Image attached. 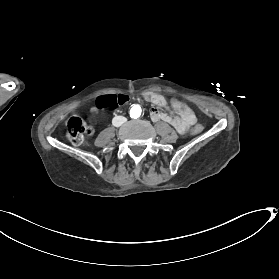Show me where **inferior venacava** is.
Wrapping results in <instances>:
<instances>
[{
    "mask_svg": "<svg viewBox=\"0 0 279 279\" xmlns=\"http://www.w3.org/2000/svg\"><path fill=\"white\" fill-rule=\"evenodd\" d=\"M116 117L113 118L112 120V123L114 126L116 127H119L121 126L124 122L127 121V119L125 117H122V116H117L115 115Z\"/></svg>",
    "mask_w": 279,
    "mask_h": 279,
    "instance_id": "602c4592",
    "label": "inferior vena cava"
}]
</instances>
